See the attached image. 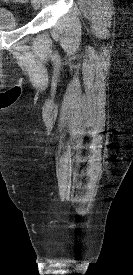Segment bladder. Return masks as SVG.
I'll return each mask as SVG.
<instances>
[{
  "label": "bladder",
  "mask_w": 133,
  "mask_h": 275,
  "mask_svg": "<svg viewBox=\"0 0 133 275\" xmlns=\"http://www.w3.org/2000/svg\"><path fill=\"white\" fill-rule=\"evenodd\" d=\"M19 26L18 16L11 10L0 7V30H13Z\"/></svg>",
  "instance_id": "obj_1"
}]
</instances>
